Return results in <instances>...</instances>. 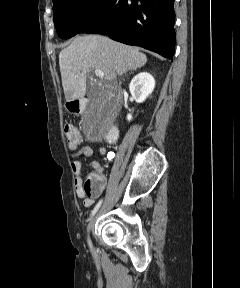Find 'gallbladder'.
<instances>
[{
    "label": "gallbladder",
    "instance_id": "bac80fb5",
    "mask_svg": "<svg viewBox=\"0 0 240 288\" xmlns=\"http://www.w3.org/2000/svg\"><path fill=\"white\" fill-rule=\"evenodd\" d=\"M90 98V104L86 111V115H90L93 112H97L99 114H106L109 110V105L105 103L98 95L97 93L91 94L89 96Z\"/></svg>",
    "mask_w": 240,
    "mask_h": 288
}]
</instances>
